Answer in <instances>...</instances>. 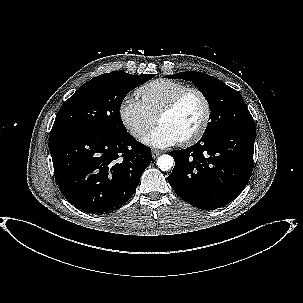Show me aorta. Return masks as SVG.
Returning a JSON list of instances; mask_svg holds the SVG:
<instances>
[{
  "label": "aorta",
  "instance_id": "aorta-1",
  "mask_svg": "<svg viewBox=\"0 0 303 303\" xmlns=\"http://www.w3.org/2000/svg\"><path fill=\"white\" fill-rule=\"evenodd\" d=\"M174 159L171 155L163 154L157 160V166L162 171H168L172 168Z\"/></svg>",
  "mask_w": 303,
  "mask_h": 303
}]
</instances>
